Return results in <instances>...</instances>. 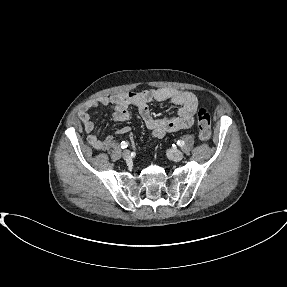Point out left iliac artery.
<instances>
[{"label":"left iliac artery","instance_id":"obj_1","mask_svg":"<svg viewBox=\"0 0 287 287\" xmlns=\"http://www.w3.org/2000/svg\"><path fill=\"white\" fill-rule=\"evenodd\" d=\"M177 145H179L180 147H182L184 145V141L183 140H178L177 141Z\"/></svg>","mask_w":287,"mask_h":287}]
</instances>
